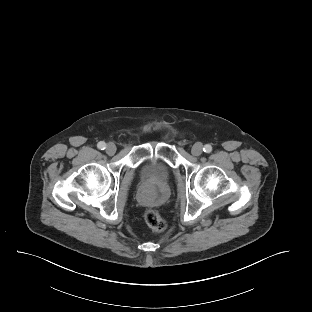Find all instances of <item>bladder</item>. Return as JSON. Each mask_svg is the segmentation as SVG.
Returning a JSON list of instances; mask_svg holds the SVG:
<instances>
[{
	"instance_id": "bladder-1",
	"label": "bladder",
	"mask_w": 312,
	"mask_h": 312,
	"mask_svg": "<svg viewBox=\"0 0 312 312\" xmlns=\"http://www.w3.org/2000/svg\"><path fill=\"white\" fill-rule=\"evenodd\" d=\"M140 175L145 181L164 183L168 181L171 175L170 168L159 160L147 162L141 169Z\"/></svg>"
}]
</instances>
